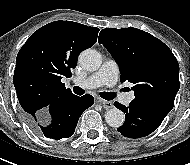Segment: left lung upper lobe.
<instances>
[{"instance_id": "5c2ea615", "label": "left lung upper lobe", "mask_w": 190, "mask_h": 165, "mask_svg": "<svg viewBox=\"0 0 190 165\" xmlns=\"http://www.w3.org/2000/svg\"><path fill=\"white\" fill-rule=\"evenodd\" d=\"M98 42L119 65L121 82L134 84V102L173 108L180 87L179 64L162 41L137 28H107Z\"/></svg>"}]
</instances>
